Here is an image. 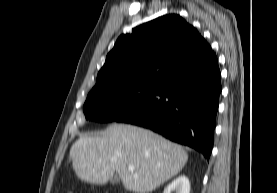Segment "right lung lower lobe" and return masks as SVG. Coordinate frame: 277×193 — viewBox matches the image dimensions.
<instances>
[{
    "instance_id": "obj_1",
    "label": "right lung lower lobe",
    "mask_w": 277,
    "mask_h": 193,
    "mask_svg": "<svg viewBox=\"0 0 277 193\" xmlns=\"http://www.w3.org/2000/svg\"><path fill=\"white\" fill-rule=\"evenodd\" d=\"M221 73L214 52L202 63L164 83L119 122L149 128L200 151L209 160L221 92Z\"/></svg>"
}]
</instances>
